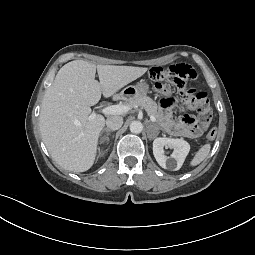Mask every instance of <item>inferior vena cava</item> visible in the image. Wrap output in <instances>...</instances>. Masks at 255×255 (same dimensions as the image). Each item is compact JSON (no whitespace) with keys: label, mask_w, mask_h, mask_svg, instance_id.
Masks as SVG:
<instances>
[{"label":"inferior vena cava","mask_w":255,"mask_h":255,"mask_svg":"<svg viewBox=\"0 0 255 255\" xmlns=\"http://www.w3.org/2000/svg\"><path fill=\"white\" fill-rule=\"evenodd\" d=\"M123 124V118L120 116H110L106 120V125L111 130H118Z\"/></svg>","instance_id":"1"}]
</instances>
